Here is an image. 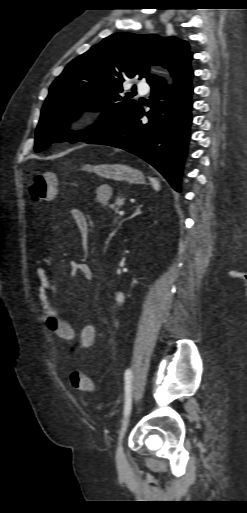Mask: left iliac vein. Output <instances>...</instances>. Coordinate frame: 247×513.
Masks as SVG:
<instances>
[{
  "label": "left iliac vein",
  "mask_w": 247,
  "mask_h": 513,
  "mask_svg": "<svg viewBox=\"0 0 247 513\" xmlns=\"http://www.w3.org/2000/svg\"><path fill=\"white\" fill-rule=\"evenodd\" d=\"M130 416L131 415H130V412H129L125 416V418H124V420L122 422V426H121L120 432H119L118 446H117V450H116V465H117L118 471L120 473L127 472L128 468H129L128 461H127L124 449L122 447V441H123V438L125 436L127 427L129 425Z\"/></svg>",
  "instance_id": "left-iliac-vein-1"
}]
</instances>
